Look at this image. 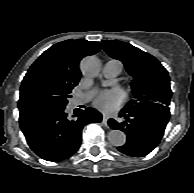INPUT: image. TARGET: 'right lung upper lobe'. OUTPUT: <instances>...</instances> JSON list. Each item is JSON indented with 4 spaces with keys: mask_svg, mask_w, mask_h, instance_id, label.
I'll list each match as a JSON object with an SVG mask.
<instances>
[{
    "mask_svg": "<svg viewBox=\"0 0 194 193\" xmlns=\"http://www.w3.org/2000/svg\"><path fill=\"white\" fill-rule=\"evenodd\" d=\"M102 48L100 42L66 40L46 50L30 67L20 88V101L32 98L39 87L60 84L75 87L81 77L80 60Z\"/></svg>",
    "mask_w": 194,
    "mask_h": 193,
    "instance_id": "right-lung-upper-lobe-1",
    "label": "right lung upper lobe"
}]
</instances>
